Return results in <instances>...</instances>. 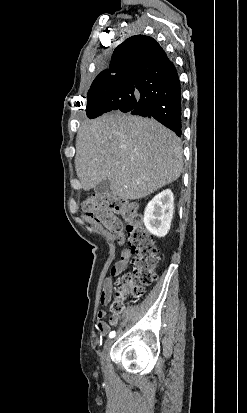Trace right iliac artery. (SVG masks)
<instances>
[{
    "label": "right iliac artery",
    "instance_id": "obj_1",
    "mask_svg": "<svg viewBox=\"0 0 247 413\" xmlns=\"http://www.w3.org/2000/svg\"><path fill=\"white\" fill-rule=\"evenodd\" d=\"M115 334H116L115 331H112V332H110L109 337L113 338V337H115Z\"/></svg>",
    "mask_w": 247,
    "mask_h": 413
}]
</instances>
